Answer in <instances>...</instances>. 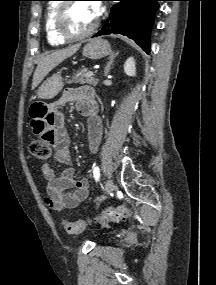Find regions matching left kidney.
<instances>
[{"label":"left kidney","instance_id":"obj_1","mask_svg":"<svg viewBox=\"0 0 216 285\" xmlns=\"http://www.w3.org/2000/svg\"><path fill=\"white\" fill-rule=\"evenodd\" d=\"M124 72L128 76H135L136 75V67H135V60L133 57H129L124 64Z\"/></svg>","mask_w":216,"mask_h":285}]
</instances>
